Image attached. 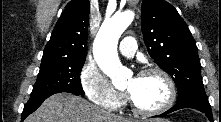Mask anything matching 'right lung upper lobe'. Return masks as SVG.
Returning a JSON list of instances; mask_svg holds the SVG:
<instances>
[{
	"mask_svg": "<svg viewBox=\"0 0 221 122\" xmlns=\"http://www.w3.org/2000/svg\"><path fill=\"white\" fill-rule=\"evenodd\" d=\"M90 3L70 1L54 27L42 60L85 59Z\"/></svg>",
	"mask_w": 221,
	"mask_h": 122,
	"instance_id": "cb5924a9",
	"label": "right lung upper lobe"
}]
</instances>
